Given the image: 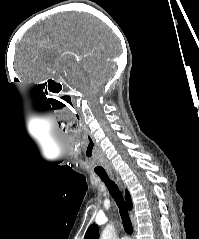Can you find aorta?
Returning <instances> with one entry per match:
<instances>
[{"label": "aorta", "instance_id": "762f6f07", "mask_svg": "<svg viewBox=\"0 0 199 239\" xmlns=\"http://www.w3.org/2000/svg\"><path fill=\"white\" fill-rule=\"evenodd\" d=\"M114 231V226L112 224H108L102 231L100 239H112Z\"/></svg>", "mask_w": 199, "mask_h": 239}]
</instances>
